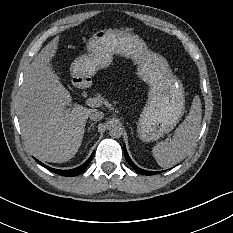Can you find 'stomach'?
<instances>
[{
    "label": "stomach",
    "mask_w": 233,
    "mask_h": 233,
    "mask_svg": "<svg viewBox=\"0 0 233 233\" xmlns=\"http://www.w3.org/2000/svg\"><path fill=\"white\" fill-rule=\"evenodd\" d=\"M86 50L70 67L77 87L84 85L78 79L90 80L99 70L108 68L114 55L131 59L137 66L136 75L149 86L147 102L137 122L139 138L156 141L176 126L185 108L183 85L172 75L166 59L149 49L141 37L117 28L103 29L88 39Z\"/></svg>",
    "instance_id": "0dacf381"
}]
</instances>
